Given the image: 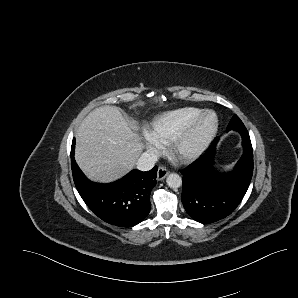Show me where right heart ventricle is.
<instances>
[{"instance_id":"1","label":"right heart ventricle","mask_w":298,"mask_h":298,"mask_svg":"<svg viewBox=\"0 0 298 298\" xmlns=\"http://www.w3.org/2000/svg\"><path fill=\"white\" fill-rule=\"evenodd\" d=\"M203 109L198 107H182L156 114L150 121L151 126L160 129L166 140L194 119Z\"/></svg>"}]
</instances>
